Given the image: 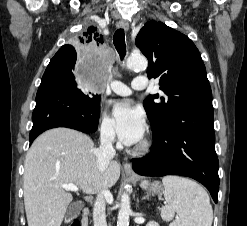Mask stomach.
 Listing matches in <instances>:
<instances>
[{"label":"stomach","instance_id":"1","mask_svg":"<svg viewBox=\"0 0 247 226\" xmlns=\"http://www.w3.org/2000/svg\"><path fill=\"white\" fill-rule=\"evenodd\" d=\"M140 186L142 189L147 190L153 195H161L163 193V187L158 181L150 183L147 180H143L141 181Z\"/></svg>","mask_w":247,"mask_h":226}]
</instances>
